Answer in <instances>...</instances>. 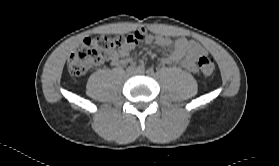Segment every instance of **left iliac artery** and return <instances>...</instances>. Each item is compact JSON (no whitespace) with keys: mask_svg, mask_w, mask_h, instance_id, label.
<instances>
[{"mask_svg":"<svg viewBox=\"0 0 279 166\" xmlns=\"http://www.w3.org/2000/svg\"><path fill=\"white\" fill-rule=\"evenodd\" d=\"M146 73L148 75H153L154 74V70L152 68L147 69Z\"/></svg>","mask_w":279,"mask_h":166,"instance_id":"1","label":"left iliac artery"}]
</instances>
